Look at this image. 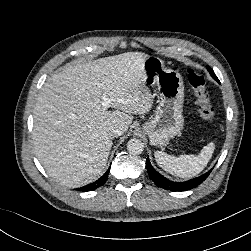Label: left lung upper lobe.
Returning a JSON list of instances; mask_svg holds the SVG:
<instances>
[{"mask_svg": "<svg viewBox=\"0 0 251 251\" xmlns=\"http://www.w3.org/2000/svg\"><path fill=\"white\" fill-rule=\"evenodd\" d=\"M207 69L209 71V73L211 74V76L215 79L218 80V78L216 77V75L214 74L213 70L211 69V67L207 66Z\"/></svg>", "mask_w": 251, "mask_h": 251, "instance_id": "5c2ea615", "label": "left lung upper lobe"}]
</instances>
